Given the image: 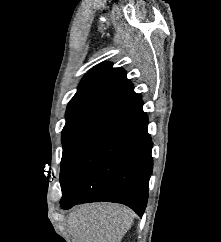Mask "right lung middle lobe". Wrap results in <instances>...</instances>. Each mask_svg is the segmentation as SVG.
<instances>
[{
  "label": "right lung middle lobe",
  "instance_id": "right-lung-middle-lobe-1",
  "mask_svg": "<svg viewBox=\"0 0 221 242\" xmlns=\"http://www.w3.org/2000/svg\"><path fill=\"white\" fill-rule=\"evenodd\" d=\"M96 123H82L65 126L62 131L63 155L61 160L60 176L65 171L69 160L88 138V136L98 127Z\"/></svg>",
  "mask_w": 221,
  "mask_h": 242
}]
</instances>
